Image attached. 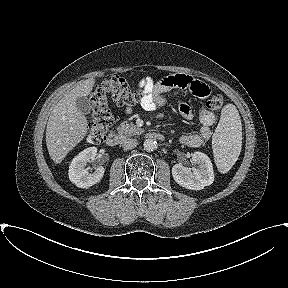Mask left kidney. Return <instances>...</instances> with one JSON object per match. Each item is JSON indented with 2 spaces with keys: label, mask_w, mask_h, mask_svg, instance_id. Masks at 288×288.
I'll return each instance as SVG.
<instances>
[{
  "label": "left kidney",
  "mask_w": 288,
  "mask_h": 288,
  "mask_svg": "<svg viewBox=\"0 0 288 288\" xmlns=\"http://www.w3.org/2000/svg\"><path fill=\"white\" fill-rule=\"evenodd\" d=\"M191 162L197 165V169H192L175 164L172 167L174 180L182 187L190 190H202L214 181V171L210 158L202 152H194Z\"/></svg>",
  "instance_id": "obj_1"
}]
</instances>
